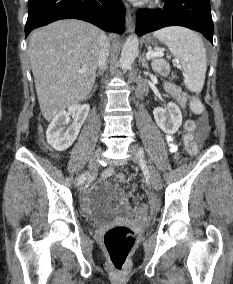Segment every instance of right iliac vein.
Instances as JSON below:
<instances>
[{
	"label": "right iliac vein",
	"mask_w": 233,
	"mask_h": 284,
	"mask_svg": "<svg viewBox=\"0 0 233 284\" xmlns=\"http://www.w3.org/2000/svg\"><path fill=\"white\" fill-rule=\"evenodd\" d=\"M101 152H102L101 148H98L91 156L89 160V164H88L89 173L85 172L84 175L82 176L83 181L79 183V188H78L79 192H82L83 188H87V185L90 182V177L95 176V172L97 171V168H98V160L100 158Z\"/></svg>",
	"instance_id": "63e3f726"
}]
</instances>
